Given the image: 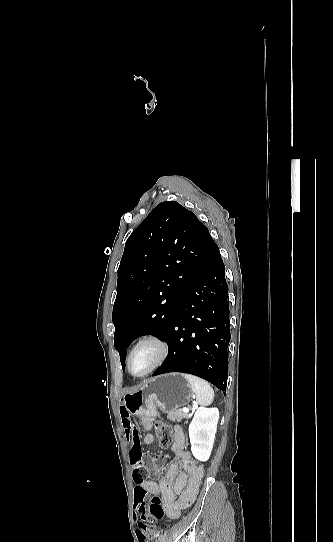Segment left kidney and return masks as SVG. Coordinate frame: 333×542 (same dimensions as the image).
<instances>
[{
	"label": "left kidney",
	"instance_id": "5707ae66",
	"mask_svg": "<svg viewBox=\"0 0 333 542\" xmlns=\"http://www.w3.org/2000/svg\"><path fill=\"white\" fill-rule=\"evenodd\" d=\"M218 420V408H198L189 424L191 452L200 462H207L211 456Z\"/></svg>",
	"mask_w": 333,
	"mask_h": 542
}]
</instances>
